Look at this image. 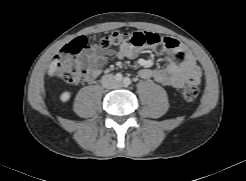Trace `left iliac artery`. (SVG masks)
<instances>
[{"label": "left iliac artery", "instance_id": "1", "mask_svg": "<svg viewBox=\"0 0 246 181\" xmlns=\"http://www.w3.org/2000/svg\"><path fill=\"white\" fill-rule=\"evenodd\" d=\"M123 82H124V84H125L126 86H128V85L131 84V79L128 78V77H126V78H124Z\"/></svg>", "mask_w": 246, "mask_h": 181}]
</instances>
